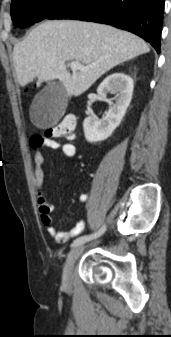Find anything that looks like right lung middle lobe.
Returning <instances> with one entry per match:
<instances>
[{
  "instance_id": "right-lung-middle-lobe-1",
  "label": "right lung middle lobe",
  "mask_w": 171,
  "mask_h": 337,
  "mask_svg": "<svg viewBox=\"0 0 171 337\" xmlns=\"http://www.w3.org/2000/svg\"><path fill=\"white\" fill-rule=\"evenodd\" d=\"M71 0H12L11 17L16 27H28L48 18Z\"/></svg>"
}]
</instances>
